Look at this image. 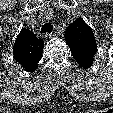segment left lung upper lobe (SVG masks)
I'll list each match as a JSON object with an SVG mask.
<instances>
[{
  "mask_svg": "<svg viewBox=\"0 0 113 113\" xmlns=\"http://www.w3.org/2000/svg\"><path fill=\"white\" fill-rule=\"evenodd\" d=\"M64 36L77 63L84 68L92 66L97 45L92 29L84 20L77 18L67 27Z\"/></svg>",
  "mask_w": 113,
  "mask_h": 113,
  "instance_id": "5c2ea615",
  "label": "left lung upper lobe"
}]
</instances>
